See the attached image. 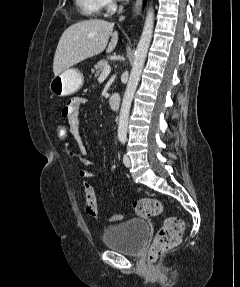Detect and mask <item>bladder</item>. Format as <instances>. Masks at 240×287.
Returning <instances> with one entry per match:
<instances>
[{"instance_id":"1","label":"bladder","mask_w":240,"mask_h":287,"mask_svg":"<svg viewBox=\"0 0 240 287\" xmlns=\"http://www.w3.org/2000/svg\"><path fill=\"white\" fill-rule=\"evenodd\" d=\"M150 227L146 220L133 218L104 230L103 243L105 247L120 253L139 255L149 238Z\"/></svg>"}]
</instances>
